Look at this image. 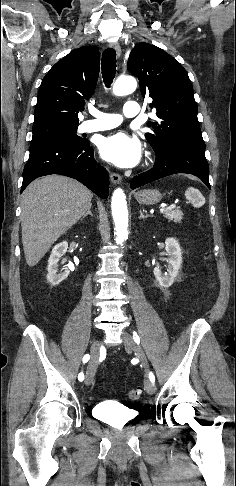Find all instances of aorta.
I'll return each mask as SVG.
<instances>
[{"mask_svg": "<svg viewBox=\"0 0 236 486\" xmlns=\"http://www.w3.org/2000/svg\"><path fill=\"white\" fill-rule=\"evenodd\" d=\"M137 82L133 77H119L114 86L113 93L117 96L128 95L135 91ZM112 216L115 223L116 243L122 244L128 238V210L124 191L116 189L111 200Z\"/></svg>", "mask_w": 236, "mask_h": 486, "instance_id": "1", "label": "aorta"}]
</instances>
